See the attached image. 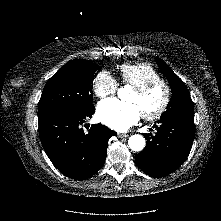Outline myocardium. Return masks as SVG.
I'll list each match as a JSON object with an SVG mask.
<instances>
[{"label": "myocardium", "mask_w": 221, "mask_h": 221, "mask_svg": "<svg viewBox=\"0 0 221 221\" xmlns=\"http://www.w3.org/2000/svg\"><path fill=\"white\" fill-rule=\"evenodd\" d=\"M156 88H161L163 90L164 97H163V100H162L160 106L156 110H154L152 112L141 113L142 117L146 120H156V119L160 118L165 113V111L167 110V108L170 104V101H171V96H172L171 88H170L169 84L166 81H164L163 79L153 80V81L147 82L143 85L134 87V91L139 96H145Z\"/></svg>", "instance_id": "obj_1"}]
</instances>
